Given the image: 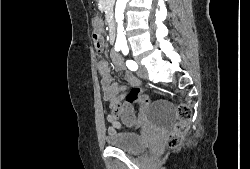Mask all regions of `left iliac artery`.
<instances>
[{
	"label": "left iliac artery",
	"mask_w": 250,
	"mask_h": 169,
	"mask_svg": "<svg viewBox=\"0 0 250 169\" xmlns=\"http://www.w3.org/2000/svg\"><path fill=\"white\" fill-rule=\"evenodd\" d=\"M124 55H127L129 50H122ZM126 66L131 70V71H136L138 69V65L135 61L133 60H127L126 61Z\"/></svg>",
	"instance_id": "obj_1"
}]
</instances>
